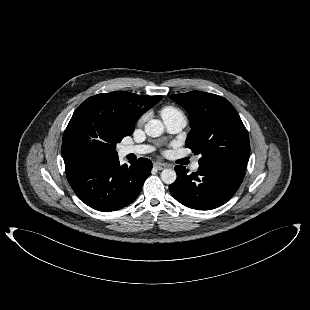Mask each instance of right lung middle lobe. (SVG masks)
<instances>
[{
    "mask_svg": "<svg viewBox=\"0 0 310 310\" xmlns=\"http://www.w3.org/2000/svg\"><path fill=\"white\" fill-rule=\"evenodd\" d=\"M69 124L65 136L67 149L71 154L85 159L117 154L116 143L127 136L107 120L92 122L79 118Z\"/></svg>",
    "mask_w": 310,
    "mask_h": 310,
    "instance_id": "1",
    "label": "right lung middle lobe"
}]
</instances>
